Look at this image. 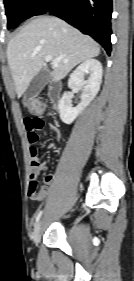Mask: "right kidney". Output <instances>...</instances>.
Returning <instances> with one entry per match:
<instances>
[{
	"mask_svg": "<svg viewBox=\"0 0 134 281\" xmlns=\"http://www.w3.org/2000/svg\"><path fill=\"white\" fill-rule=\"evenodd\" d=\"M89 74L87 80L84 75ZM103 68L96 59H88L81 63L71 74L68 86L69 88H83L81 102L72 107V96L65 92L59 101L58 109L61 120L66 124H71L77 116L90 104L100 90Z\"/></svg>",
	"mask_w": 134,
	"mask_h": 281,
	"instance_id": "obj_1",
	"label": "right kidney"
}]
</instances>
